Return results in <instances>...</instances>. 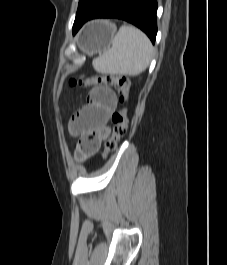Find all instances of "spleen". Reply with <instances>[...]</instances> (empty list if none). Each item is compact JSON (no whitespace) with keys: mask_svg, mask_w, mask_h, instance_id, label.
I'll use <instances>...</instances> for the list:
<instances>
[{"mask_svg":"<svg viewBox=\"0 0 227 265\" xmlns=\"http://www.w3.org/2000/svg\"><path fill=\"white\" fill-rule=\"evenodd\" d=\"M153 55L149 38L139 29L123 25L112 38V47L93 59L98 73L136 76L145 71Z\"/></svg>","mask_w":227,"mask_h":265,"instance_id":"obj_1","label":"spleen"}]
</instances>
